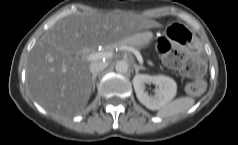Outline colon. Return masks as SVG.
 Instances as JSON below:
<instances>
[{"label": "colon", "instance_id": "obj_1", "mask_svg": "<svg viewBox=\"0 0 238 145\" xmlns=\"http://www.w3.org/2000/svg\"><path fill=\"white\" fill-rule=\"evenodd\" d=\"M157 48L162 55L164 63L193 81L188 85L191 94H200L204 90L203 76L206 71V61L201 55L186 56L172 49L170 42L161 37L157 41Z\"/></svg>", "mask_w": 238, "mask_h": 145}]
</instances>
